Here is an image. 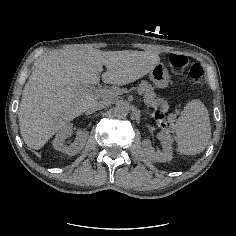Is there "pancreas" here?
<instances>
[{
	"mask_svg": "<svg viewBox=\"0 0 236 236\" xmlns=\"http://www.w3.org/2000/svg\"><path fill=\"white\" fill-rule=\"evenodd\" d=\"M108 91V90H106ZM137 93L143 94L145 91H148L143 95V101L144 104L150 108H159L160 106L165 105L166 100L163 97H157V95L154 93V89L152 85H150L146 81H142L139 86L136 88ZM127 90H112L108 91V93L103 97L106 101H111L112 98H120L125 97Z\"/></svg>",
	"mask_w": 236,
	"mask_h": 236,
	"instance_id": "cf45deb5",
	"label": "pancreas"
}]
</instances>
